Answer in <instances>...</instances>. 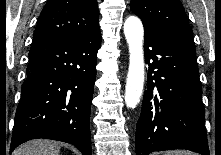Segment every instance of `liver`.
<instances>
[{"label": "liver", "mask_w": 221, "mask_h": 155, "mask_svg": "<svg viewBox=\"0 0 221 155\" xmlns=\"http://www.w3.org/2000/svg\"><path fill=\"white\" fill-rule=\"evenodd\" d=\"M60 146L55 141L50 140H30L15 151L14 155H59Z\"/></svg>", "instance_id": "liver-1"}]
</instances>
